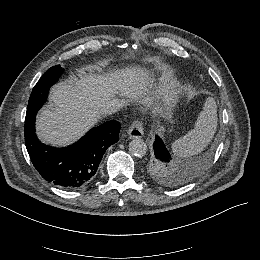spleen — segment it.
Segmentation results:
<instances>
[{
	"label": "spleen",
	"instance_id": "3e777b00",
	"mask_svg": "<svg viewBox=\"0 0 260 260\" xmlns=\"http://www.w3.org/2000/svg\"><path fill=\"white\" fill-rule=\"evenodd\" d=\"M216 127V104L212 98H208L194 128L173 142L172 152L184 157L201 152L211 141Z\"/></svg>",
	"mask_w": 260,
	"mask_h": 260
}]
</instances>
